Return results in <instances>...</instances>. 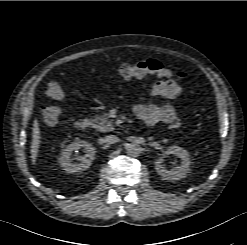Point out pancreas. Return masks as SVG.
<instances>
[{
    "mask_svg": "<svg viewBox=\"0 0 247 245\" xmlns=\"http://www.w3.org/2000/svg\"><path fill=\"white\" fill-rule=\"evenodd\" d=\"M92 127L97 129L100 132H109L114 130L111 120H109L106 113L101 115H96L92 119Z\"/></svg>",
    "mask_w": 247,
    "mask_h": 245,
    "instance_id": "cf45deb5",
    "label": "pancreas"
}]
</instances>
